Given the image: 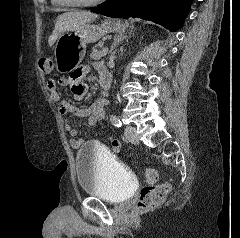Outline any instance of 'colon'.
<instances>
[{
  "label": "colon",
  "mask_w": 240,
  "mask_h": 238,
  "mask_svg": "<svg viewBox=\"0 0 240 238\" xmlns=\"http://www.w3.org/2000/svg\"><path fill=\"white\" fill-rule=\"evenodd\" d=\"M39 68L44 74L51 73L53 60L50 57L41 58L39 60ZM144 177L150 185L141 189L138 206L141 209L148 210L157 207L164 201L170 192V185L168 183L155 184L157 172L152 168L145 170Z\"/></svg>",
  "instance_id": "obj_1"
}]
</instances>
